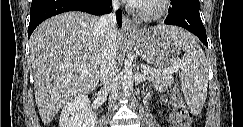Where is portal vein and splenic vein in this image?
<instances>
[{"label":"portal vein and splenic vein","mask_w":243,"mask_h":127,"mask_svg":"<svg viewBox=\"0 0 243 127\" xmlns=\"http://www.w3.org/2000/svg\"><path fill=\"white\" fill-rule=\"evenodd\" d=\"M174 70H175V67L173 66L171 69L163 70L162 73L166 74V75H170ZM83 72H85V71H83ZM148 72L149 71L144 67L142 73L144 75H146V74H148Z\"/></svg>","instance_id":"obj_1"}]
</instances>
